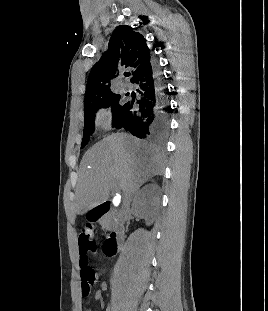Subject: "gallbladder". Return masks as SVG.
I'll list each match as a JSON object with an SVG mask.
<instances>
[{
  "label": "gallbladder",
  "instance_id": "1",
  "mask_svg": "<svg viewBox=\"0 0 268 311\" xmlns=\"http://www.w3.org/2000/svg\"><path fill=\"white\" fill-rule=\"evenodd\" d=\"M112 206L114 208H119L120 206H123V199H112Z\"/></svg>",
  "mask_w": 268,
  "mask_h": 311
}]
</instances>
